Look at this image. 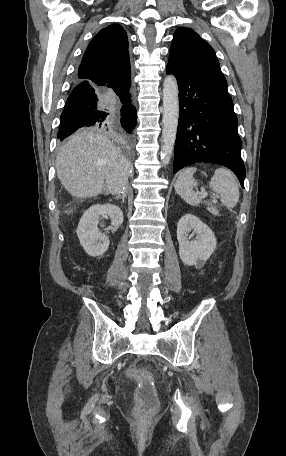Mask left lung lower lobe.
I'll return each instance as SVG.
<instances>
[{
	"label": "left lung lower lobe",
	"instance_id": "0a47b994",
	"mask_svg": "<svg viewBox=\"0 0 286 456\" xmlns=\"http://www.w3.org/2000/svg\"><path fill=\"white\" fill-rule=\"evenodd\" d=\"M166 72L176 76L180 97L173 173L197 162L216 163L231 169L244 188L242 142L227 90L169 64Z\"/></svg>",
	"mask_w": 286,
	"mask_h": 456
}]
</instances>
